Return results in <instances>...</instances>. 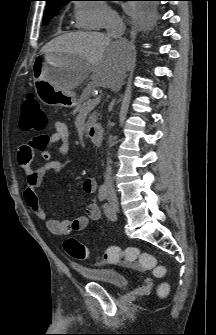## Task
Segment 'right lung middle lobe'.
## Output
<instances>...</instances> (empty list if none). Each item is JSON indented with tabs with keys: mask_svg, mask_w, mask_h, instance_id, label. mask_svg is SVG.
Segmentation results:
<instances>
[{
	"mask_svg": "<svg viewBox=\"0 0 216 335\" xmlns=\"http://www.w3.org/2000/svg\"><path fill=\"white\" fill-rule=\"evenodd\" d=\"M66 3L67 2L47 5L46 9H45V13H44V24H47L61 10V8ZM145 11H147L149 15L154 14V8H153L152 4H149L147 6V8L145 9Z\"/></svg>",
	"mask_w": 216,
	"mask_h": 335,
	"instance_id": "1",
	"label": "right lung middle lobe"
}]
</instances>
